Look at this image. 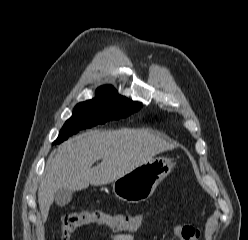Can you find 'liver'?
Instances as JSON below:
<instances>
[{
	"instance_id": "obj_1",
	"label": "liver",
	"mask_w": 248,
	"mask_h": 240,
	"mask_svg": "<svg viewBox=\"0 0 248 240\" xmlns=\"http://www.w3.org/2000/svg\"><path fill=\"white\" fill-rule=\"evenodd\" d=\"M174 146L144 130H90L59 146L49 156L38 190L43 222L55 191L106 185ZM102 159L95 167L92 165Z\"/></svg>"
}]
</instances>
